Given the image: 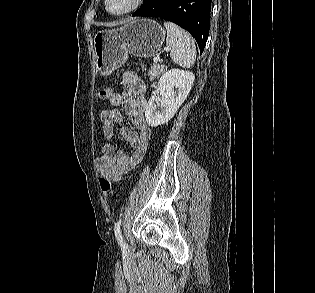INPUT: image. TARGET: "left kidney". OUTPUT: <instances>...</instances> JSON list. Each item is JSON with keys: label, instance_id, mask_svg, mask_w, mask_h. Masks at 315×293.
<instances>
[{"label": "left kidney", "instance_id": "obj_1", "mask_svg": "<svg viewBox=\"0 0 315 293\" xmlns=\"http://www.w3.org/2000/svg\"><path fill=\"white\" fill-rule=\"evenodd\" d=\"M195 80V75L190 71L171 69L167 71L158 82L157 90L149 99L145 117L149 126L157 127L167 123L177 112L187 98ZM162 95L159 101L160 110H157L155 102L157 94Z\"/></svg>", "mask_w": 315, "mask_h": 293}]
</instances>
